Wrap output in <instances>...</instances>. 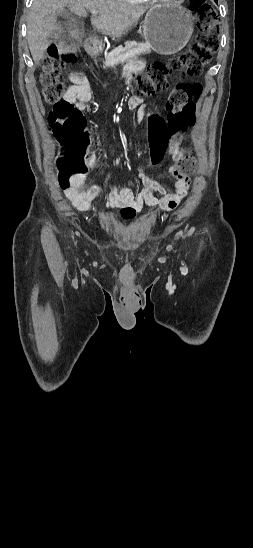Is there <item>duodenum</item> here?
<instances>
[{
  "label": "duodenum",
  "mask_w": 253,
  "mask_h": 548,
  "mask_svg": "<svg viewBox=\"0 0 253 548\" xmlns=\"http://www.w3.org/2000/svg\"><path fill=\"white\" fill-rule=\"evenodd\" d=\"M87 48H88V51L90 52L91 55L96 56V55L99 54V48H98V46L96 45L95 42L90 41L87 44Z\"/></svg>",
  "instance_id": "1"
}]
</instances>
